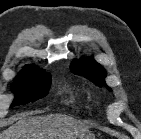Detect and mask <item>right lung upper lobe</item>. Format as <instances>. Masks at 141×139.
<instances>
[{
  "label": "right lung upper lobe",
  "mask_w": 141,
  "mask_h": 139,
  "mask_svg": "<svg viewBox=\"0 0 141 139\" xmlns=\"http://www.w3.org/2000/svg\"><path fill=\"white\" fill-rule=\"evenodd\" d=\"M27 69H30V68H37L36 66H33V65H29L26 67Z\"/></svg>",
  "instance_id": "obj_1"
}]
</instances>
